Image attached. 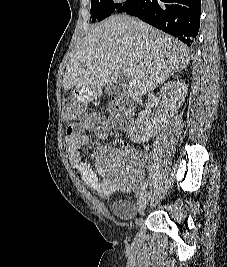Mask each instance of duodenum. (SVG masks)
<instances>
[{"label": "duodenum", "mask_w": 227, "mask_h": 267, "mask_svg": "<svg viewBox=\"0 0 227 267\" xmlns=\"http://www.w3.org/2000/svg\"><path fill=\"white\" fill-rule=\"evenodd\" d=\"M133 100L136 103H140L141 102V99L139 97H137V96H133Z\"/></svg>", "instance_id": "1"}]
</instances>
